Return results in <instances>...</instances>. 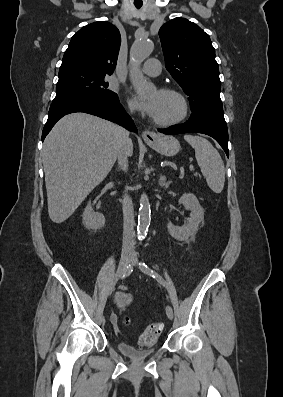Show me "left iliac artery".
Wrapping results in <instances>:
<instances>
[{"instance_id": "left-iliac-artery-1", "label": "left iliac artery", "mask_w": 283, "mask_h": 397, "mask_svg": "<svg viewBox=\"0 0 283 397\" xmlns=\"http://www.w3.org/2000/svg\"><path fill=\"white\" fill-rule=\"evenodd\" d=\"M139 267L142 270V272H144L147 275H150L151 277L156 279L160 284L167 287V284L164 281V279L160 275H158L155 271H153L150 267H148L144 262H140Z\"/></svg>"}]
</instances>
